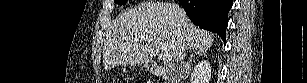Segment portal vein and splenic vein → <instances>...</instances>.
Returning a JSON list of instances; mask_svg holds the SVG:
<instances>
[{"mask_svg":"<svg viewBox=\"0 0 307 83\" xmlns=\"http://www.w3.org/2000/svg\"><path fill=\"white\" fill-rule=\"evenodd\" d=\"M159 43L160 49L162 50V54H161V58L163 59V61L165 62H170L172 60V55L170 52H168L162 45V43Z\"/></svg>","mask_w":307,"mask_h":83,"instance_id":"1","label":"portal vein and splenic vein"}]
</instances>
